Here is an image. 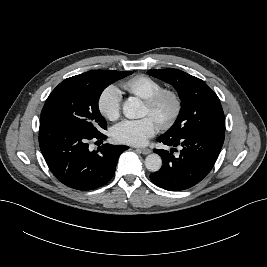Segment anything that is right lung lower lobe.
Segmentation results:
<instances>
[{"mask_svg":"<svg viewBox=\"0 0 267 267\" xmlns=\"http://www.w3.org/2000/svg\"><path fill=\"white\" fill-rule=\"evenodd\" d=\"M104 134L90 135L50 119H41L39 145L54 176L64 185L77 190H94L114 175L125 145L103 144L89 151L90 140H105ZM103 142V141H102Z\"/></svg>","mask_w":267,"mask_h":267,"instance_id":"98d812e1","label":"right lung lower lobe"}]
</instances>
